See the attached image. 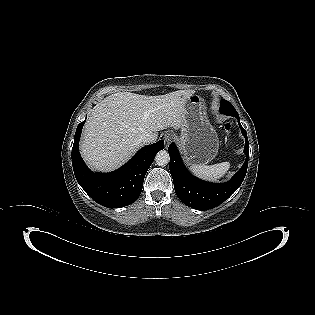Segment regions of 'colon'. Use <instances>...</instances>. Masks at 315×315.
<instances>
[{"label": "colon", "mask_w": 315, "mask_h": 315, "mask_svg": "<svg viewBox=\"0 0 315 315\" xmlns=\"http://www.w3.org/2000/svg\"><path fill=\"white\" fill-rule=\"evenodd\" d=\"M224 129H225L226 133H229L231 131V124L230 123H226L224 125Z\"/></svg>", "instance_id": "colon-1"}]
</instances>
